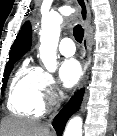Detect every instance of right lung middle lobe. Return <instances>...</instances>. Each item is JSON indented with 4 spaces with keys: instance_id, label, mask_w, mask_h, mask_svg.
Instances as JSON below:
<instances>
[{
    "instance_id": "obj_1",
    "label": "right lung middle lobe",
    "mask_w": 117,
    "mask_h": 136,
    "mask_svg": "<svg viewBox=\"0 0 117 136\" xmlns=\"http://www.w3.org/2000/svg\"><path fill=\"white\" fill-rule=\"evenodd\" d=\"M17 60H19V58L11 59V60H9L7 62L6 66H5L3 85H2V93H3L4 89H5L6 83L8 81L9 75H10V72L13 69V65Z\"/></svg>"
}]
</instances>
